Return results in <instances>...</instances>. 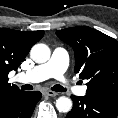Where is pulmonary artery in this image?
<instances>
[{
	"instance_id": "obj_1",
	"label": "pulmonary artery",
	"mask_w": 118,
	"mask_h": 118,
	"mask_svg": "<svg viewBox=\"0 0 118 118\" xmlns=\"http://www.w3.org/2000/svg\"><path fill=\"white\" fill-rule=\"evenodd\" d=\"M68 65L69 56L67 52L62 48H56L47 62L37 65L29 71L18 74L16 80L24 83H36L49 78H55L67 83V80L64 78V73ZM86 91L87 88L85 86L75 88V93L79 96H84Z\"/></svg>"
}]
</instances>
